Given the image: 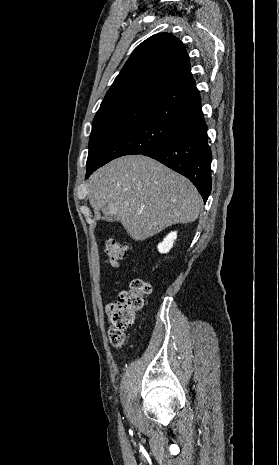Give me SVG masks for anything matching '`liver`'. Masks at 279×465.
I'll return each mask as SVG.
<instances>
[{"mask_svg": "<svg viewBox=\"0 0 279 465\" xmlns=\"http://www.w3.org/2000/svg\"><path fill=\"white\" fill-rule=\"evenodd\" d=\"M88 197L97 220L120 222L135 241L173 224L194 222L201 207V197L186 177L143 155L120 157L94 172Z\"/></svg>", "mask_w": 279, "mask_h": 465, "instance_id": "1", "label": "liver"}]
</instances>
